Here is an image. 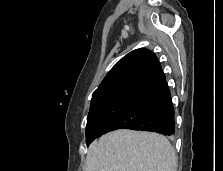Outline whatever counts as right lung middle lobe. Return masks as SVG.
I'll return each mask as SVG.
<instances>
[{"instance_id": "obj_1", "label": "right lung middle lobe", "mask_w": 223, "mask_h": 171, "mask_svg": "<svg viewBox=\"0 0 223 171\" xmlns=\"http://www.w3.org/2000/svg\"><path fill=\"white\" fill-rule=\"evenodd\" d=\"M135 98V95L120 94L91 102L86 125L87 145L99 137L103 128Z\"/></svg>"}]
</instances>
